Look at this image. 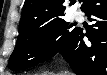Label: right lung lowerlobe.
Wrapping results in <instances>:
<instances>
[{"instance_id":"right-lung-lower-lobe-1","label":"right lung lower lobe","mask_w":107,"mask_h":75,"mask_svg":"<svg viewBox=\"0 0 107 75\" xmlns=\"http://www.w3.org/2000/svg\"><path fill=\"white\" fill-rule=\"evenodd\" d=\"M81 9L94 24L86 33L78 28L58 53L77 75H107V0H85ZM84 36L89 42L83 41Z\"/></svg>"}]
</instances>
